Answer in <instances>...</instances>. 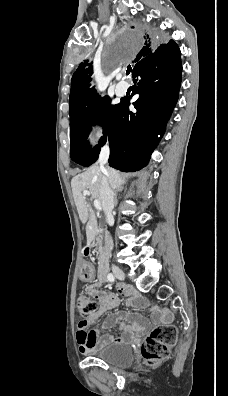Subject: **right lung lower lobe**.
Listing matches in <instances>:
<instances>
[{
    "label": "right lung lower lobe",
    "mask_w": 228,
    "mask_h": 396,
    "mask_svg": "<svg viewBox=\"0 0 228 396\" xmlns=\"http://www.w3.org/2000/svg\"><path fill=\"white\" fill-rule=\"evenodd\" d=\"M139 63L132 74L137 77L134 81L139 94L132 103L136 111L128 110L130 98L121 99L108 132L109 165L123 172H134L148 164L164 134L181 84L180 50L172 40Z\"/></svg>",
    "instance_id": "obj_1"
}]
</instances>
